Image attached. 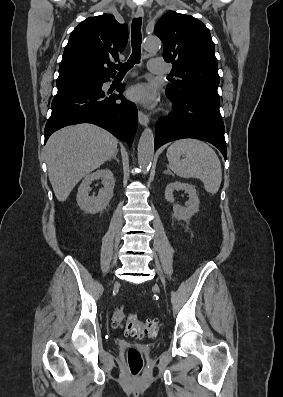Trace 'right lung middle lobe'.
<instances>
[{"label": "right lung middle lobe", "mask_w": 283, "mask_h": 397, "mask_svg": "<svg viewBox=\"0 0 283 397\" xmlns=\"http://www.w3.org/2000/svg\"><path fill=\"white\" fill-rule=\"evenodd\" d=\"M101 80H91V79H76V80H66V81H57L58 90L68 88L76 85H92L100 82Z\"/></svg>", "instance_id": "right-lung-middle-lobe-1"}]
</instances>
